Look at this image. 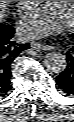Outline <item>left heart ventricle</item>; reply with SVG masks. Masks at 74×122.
Instances as JSON below:
<instances>
[{
	"mask_svg": "<svg viewBox=\"0 0 74 122\" xmlns=\"http://www.w3.org/2000/svg\"><path fill=\"white\" fill-rule=\"evenodd\" d=\"M44 3L51 6L56 14L64 20L69 21L71 19L73 10L72 1H44Z\"/></svg>",
	"mask_w": 74,
	"mask_h": 122,
	"instance_id": "left-heart-ventricle-1",
	"label": "left heart ventricle"
}]
</instances>
